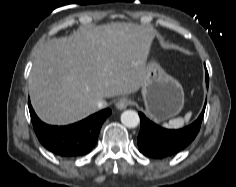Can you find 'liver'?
<instances>
[{"label":"liver","mask_w":236,"mask_h":187,"mask_svg":"<svg viewBox=\"0 0 236 187\" xmlns=\"http://www.w3.org/2000/svg\"><path fill=\"white\" fill-rule=\"evenodd\" d=\"M153 38L150 28L114 22L51 39L36 54L28 80L36 114L67 125L95 113L101 99L136 92Z\"/></svg>","instance_id":"1"}]
</instances>
